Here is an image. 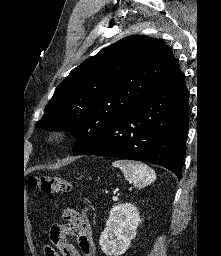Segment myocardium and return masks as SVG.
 Instances as JSON below:
<instances>
[{
  "label": "myocardium",
  "instance_id": "obj_1",
  "mask_svg": "<svg viewBox=\"0 0 221 256\" xmlns=\"http://www.w3.org/2000/svg\"><path fill=\"white\" fill-rule=\"evenodd\" d=\"M62 134L60 131H53L47 135V141L54 142L61 138Z\"/></svg>",
  "mask_w": 221,
  "mask_h": 256
}]
</instances>
